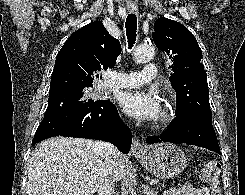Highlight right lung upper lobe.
<instances>
[{"instance_id":"1","label":"right lung upper lobe","mask_w":245,"mask_h":195,"mask_svg":"<svg viewBox=\"0 0 245 195\" xmlns=\"http://www.w3.org/2000/svg\"><path fill=\"white\" fill-rule=\"evenodd\" d=\"M120 53L119 40L103 23L94 21L82 27L68 38L56 57L50 93L93 86L96 71L112 68Z\"/></svg>"}]
</instances>
